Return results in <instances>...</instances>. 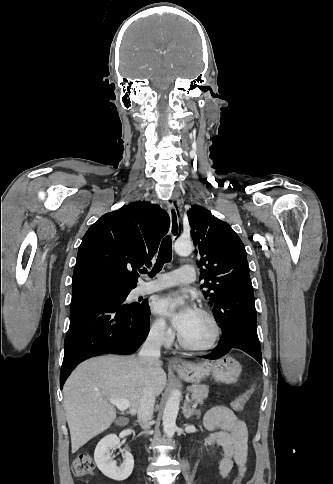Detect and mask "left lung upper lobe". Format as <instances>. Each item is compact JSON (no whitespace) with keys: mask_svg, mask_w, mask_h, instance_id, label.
Here are the masks:
<instances>
[{"mask_svg":"<svg viewBox=\"0 0 333 484\" xmlns=\"http://www.w3.org/2000/svg\"><path fill=\"white\" fill-rule=\"evenodd\" d=\"M187 215L200 257V280H204L201 288L209 304L214 306L225 282L249 274L245 246L228 223L207 209L193 205Z\"/></svg>","mask_w":333,"mask_h":484,"instance_id":"5c2ea615","label":"left lung upper lobe"}]
</instances>
